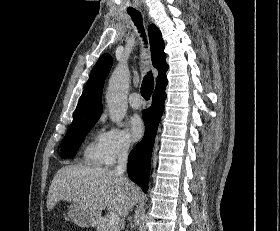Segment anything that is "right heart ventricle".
I'll list each match as a JSON object with an SVG mask.
<instances>
[{
  "instance_id": "e07e8e85",
  "label": "right heart ventricle",
  "mask_w": 280,
  "mask_h": 231,
  "mask_svg": "<svg viewBox=\"0 0 280 231\" xmlns=\"http://www.w3.org/2000/svg\"><path fill=\"white\" fill-rule=\"evenodd\" d=\"M99 138L100 136L93 134L84 146L82 160L85 165L99 167L104 164Z\"/></svg>"
}]
</instances>
